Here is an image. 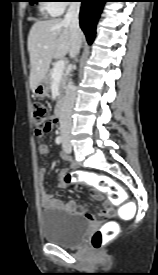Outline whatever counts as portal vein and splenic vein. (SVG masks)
I'll use <instances>...</instances> for the list:
<instances>
[{
    "label": "portal vein and splenic vein",
    "mask_w": 158,
    "mask_h": 275,
    "mask_svg": "<svg viewBox=\"0 0 158 275\" xmlns=\"http://www.w3.org/2000/svg\"><path fill=\"white\" fill-rule=\"evenodd\" d=\"M64 67H65L64 60H59L56 62L55 66L53 68V73H52L53 79H60V77L63 74Z\"/></svg>",
    "instance_id": "obj_1"
}]
</instances>
